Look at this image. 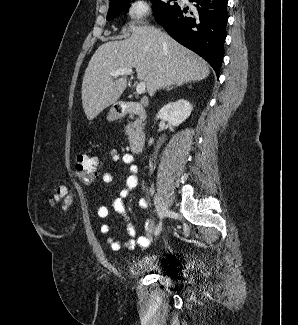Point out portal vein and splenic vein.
Wrapping results in <instances>:
<instances>
[{"instance_id":"1","label":"portal vein and splenic vein","mask_w":298,"mask_h":325,"mask_svg":"<svg viewBox=\"0 0 298 325\" xmlns=\"http://www.w3.org/2000/svg\"><path fill=\"white\" fill-rule=\"evenodd\" d=\"M111 76H120V74H133L132 68H117V70H113L110 72ZM146 88L145 82H139L136 86L137 94H142Z\"/></svg>"}]
</instances>
